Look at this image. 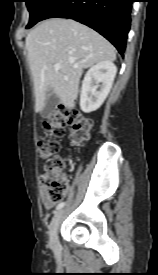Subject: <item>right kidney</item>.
Wrapping results in <instances>:
<instances>
[{
  "label": "right kidney",
  "instance_id": "obj_1",
  "mask_svg": "<svg viewBox=\"0 0 158 275\" xmlns=\"http://www.w3.org/2000/svg\"><path fill=\"white\" fill-rule=\"evenodd\" d=\"M116 73L117 67L111 61H101L87 71L80 94V107L83 112H93L103 104Z\"/></svg>",
  "mask_w": 158,
  "mask_h": 275
}]
</instances>
